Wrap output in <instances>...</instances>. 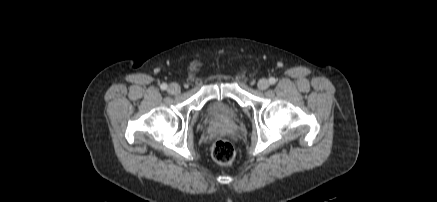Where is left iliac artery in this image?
Masks as SVG:
<instances>
[{"label": "left iliac artery", "instance_id": "obj_1", "mask_svg": "<svg viewBox=\"0 0 437 202\" xmlns=\"http://www.w3.org/2000/svg\"><path fill=\"white\" fill-rule=\"evenodd\" d=\"M269 82H270V84H275L276 83V79L274 77H270L269 78Z\"/></svg>", "mask_w": 437, "mask_h": 202}]
</instances>
